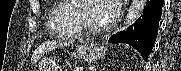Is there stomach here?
Returning <instances> with one entry per match:
<instances>
[{
  "label": "stomach",
  "mask_w": 181,
  "mask_h": 71,
  "mask_svg": "<svg viewBox=\"0 0 181 71\" xmlns=\"http://www.w3.org/2000/svg\"><path fill=\"white\" fill-rule=\"evenodd\" d=\"M106 49L103 46H94L93 44L80 45L74 53V58L84 62H95L105 55ZM40 71H56L55 67L47 61H43L39 66Z\"/></svg>",
  "instance_id": "stomach-1"
}]
</instances>
